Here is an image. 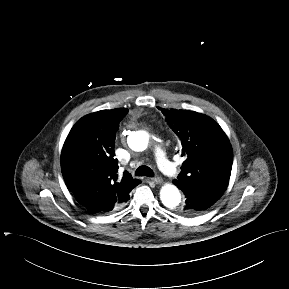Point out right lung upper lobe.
I'll use <instances>...</instances> for the list:
<instances>
[{"mask_svg":"<svg viewBox=\"0 0 289 289\" xmlns=\"http://www.w3.org/2000/svg\"><path fill=\"white\" fill-rule=\"evenodd\" d=\"M126 108L101 110L82 117L69 132L61 154L65 183L90 212L106 213L129 200L139 184L125 172L118 177L115 136Z\"/></svg>","mask_w":289,"mask_h":289,"instance_id":"right-lung-upper-lobe-1","label":"right lung upper lobe"}]
</instances>
